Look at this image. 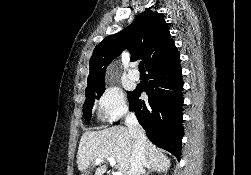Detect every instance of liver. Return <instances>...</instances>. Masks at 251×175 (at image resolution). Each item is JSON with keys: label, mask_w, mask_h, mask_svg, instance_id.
Returning <instances> with one entry per match:
<instances>
[{"label": "liver", "mask_w": 251, "mask_h": 175, "mask_svg": "<svg viewBox=\"0 0 251 175\" xmlns=\"http://www.w3.org/2000/svg\"><path fill=\"white\" fill-rule=\"evenodd\" d=\"M132 151H134L133 137L129 133L128 127L117 125V127H108V129H100V131H84L77 151L78 169H80L81 175H87L90 173L89 167L98 165L95 175H102L107 169V157H115L119 171L123 175H128ZM145 155L147 157L145 167H149V169L154 167L159 171L169 169L170 159L151 141H147L145 145ZM96 157H103L104 161L96 163Z\"/></svg>", "instance_id": "1"}]
</instances>
